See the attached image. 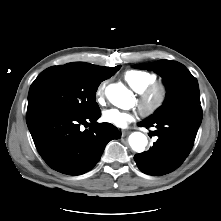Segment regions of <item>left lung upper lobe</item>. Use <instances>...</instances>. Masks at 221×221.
<instances>
[{"mask_svg": "<svg viewBox=\"0 0 221 221\" xmlns=\"http://www.w3.org/2000/svg\"><path fill=\"white\" fill-rule=\"evenodd\" d=\"M137 67L152 70L161 75L167 88V96L163 105L147 120H155L177 112L191 111L200 106L197 79L183 64L160 60L150 64H140Z\"/></svg>", "mask_w": 221, "mask_h": 221, "instance_id": "left-lung-upper-lobe-1", "label": "left lung upper lobe"}]
</instances>
